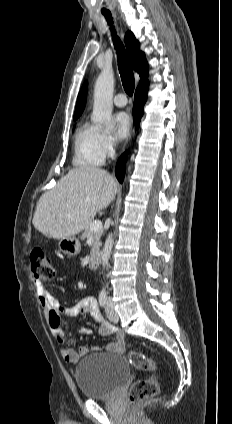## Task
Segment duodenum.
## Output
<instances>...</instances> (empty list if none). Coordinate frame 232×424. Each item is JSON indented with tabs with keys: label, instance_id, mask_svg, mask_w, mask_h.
<instances>
[{
	"label": "duodenum",
	"instance_id": "410a0bca",
	"mask_svg": "<svg viewBox=\"0 0 232 424\" xmlns=\"http://www.w3.org/2000/svg\"><path fill=\"white\" fill-rule=\"evenodd\" d=\"M100 262V254L99 252H94L90 261H89V269L90 270H95Z\"/></svg>",
	"mask_w": 232,
	"mask_h": 424
}]
</instances>
